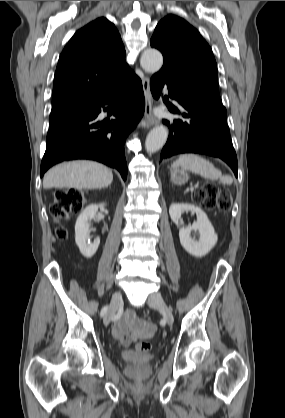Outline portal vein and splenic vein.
I'll list each match as a JSON object with an SVG mask.
<instances>
[{"label": "portal vein and splenic vein", "instance_id": "18ae733b", "mask_svg": "<svg viewBox=\"0 0 285 418\" xmlns=\"http://www.w3.org/2000/svg\"><path fill=\"white\" fill-rule=\"evenodd\" d=\"M199 186V184L197 183L194 187L197 188ZM193 189V188H192Z\"/></svg>", "mask_w": 285, "mask_h": 418}]
</instances>
